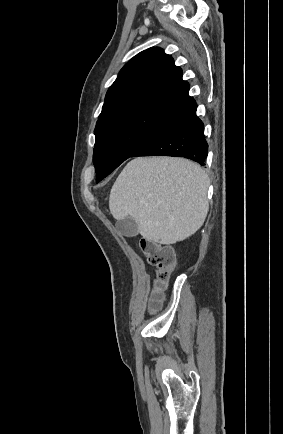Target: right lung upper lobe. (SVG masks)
<instances>
[{
    "instance_id": "obj_1",
    "label": "right lung upper lobe",
    "mask_w": 283,
    "mask_h": 434,
    "mask_svg": "<svg viewBox=\"0 0 283 434\" xmlns=\"http://www.w3.org/2000/svg\"><path fill=\"white\" fill-rule=\"evenodd\" d=\"M182 70L161 48L134 56L121 69L105 97L97 124L131 113H147L174 120L197 107ZM96 124V125H97Z\"/></svg>"
}]
</instances>
